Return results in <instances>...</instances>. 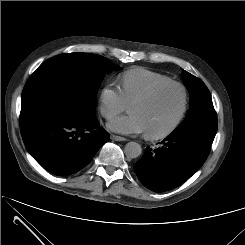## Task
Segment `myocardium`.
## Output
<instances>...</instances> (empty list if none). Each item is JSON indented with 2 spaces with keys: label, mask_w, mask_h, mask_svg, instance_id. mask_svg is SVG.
I'll return each mask as SVG.
<instances>
[{
  "label": "myocardium",
  "mask_w": 245,
  "mask_h": 245,
  "mask_svg": "<svg viewBox=\"0 0 245 245\" xmlns=\"http://www.w3.org/2000/svg\"><path fill=\"white\" fill-rule=\"evenodd\" d=\"M168 87H176L178 88L181 93H182V106L181 109L176 117V119L173 121V123L167 127L166 129L156 132V133H150V132H145V137L150 139V140H159L168 137L171 135L173 132L177 130V128L180 126L182 123L187 109H188V103H189V97H188V91L186 87L177 82V81H167V82H162L159 84H156L152 86L149 90H147L145 93L141 94L140 96H137L133 100H131L128 104V107L133 104V103H144L147 101H150L153 99L160 91H162L165 88Z\"/></svg>",
  "instance_id": "myocardium-1"
}]
</instances>
